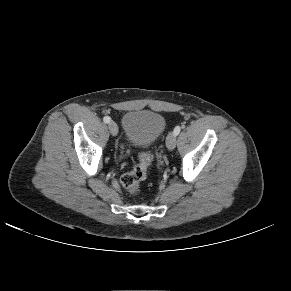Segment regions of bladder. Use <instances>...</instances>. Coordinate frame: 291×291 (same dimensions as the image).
I'll return each instance as SVG.
<instances>
[{
	"label": "bladder",
	"instance_id": "obj_1",
	"mask_svg": "<svg viewBox=\"0 0 291 291\" xmlns=\"http://www.w3.org/2000/svg\"><path fill=\"white\" fill-rule=\"evenodd\" d=\"M164 117L149 110H133L124 114L122 127L131 146L145 148L152 145L165 129Z\"/></svg>",
	"mask_w": 291,
	"mask_h": 291
}]
</instances>
